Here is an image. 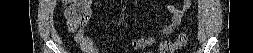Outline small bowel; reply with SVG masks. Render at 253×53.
I'll use <instances>...</instances> for the list:
<instances>
[{"instance_id":"c3829d8e","label":"small bowel","mask_w":253,"mask_h":53,"mask_svg":"<svg viewBox=\"0 0 253 53\" xmlns=\"http://www.w3.org/2000/svg\"><path fill=\"white\" fill-rule=\"evenodd\" d=\"M192 1L185 0L180 8H175L173 6L169 7V11L172 14L171 21L162 29L163 34L172 33L181 23L184 15L190 10ZM75 39L81 45L83 51L87 53H96L95 43L94 41L87 36L84 28H80L75 31ZM136 40L133 41L134 48L137 47L135 44ZM143 46L150 45L153 42L152 38H147L141 40Z\"/></svg>"}]
</instances>
